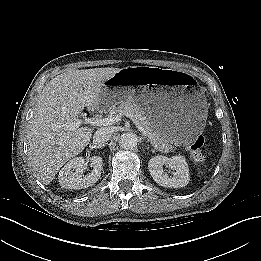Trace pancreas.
<instances>
[{"label": "pancreas", "mask_w": 261, "mask_h": 261, "mask_svg": "<svg viewBox=\"0 0 261 261\" xmlns=\"http://www.w3.org/2000/svg\"><path fill=\"white\" fill-rule=\"evenodd\" d=\"M110 115H121L126 116V114H131L135 119H137L141 125L145 128L147 132V139L155 147L156 150L160 152H170L173 149V143L169 140L163 138L160 134L156 133L151 122L148 119V115L141 108V106L125 102L118 105H113L109 108Z\"/></svg>", "instance_id": "1"}]
</instances>
